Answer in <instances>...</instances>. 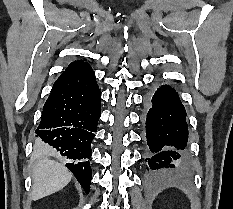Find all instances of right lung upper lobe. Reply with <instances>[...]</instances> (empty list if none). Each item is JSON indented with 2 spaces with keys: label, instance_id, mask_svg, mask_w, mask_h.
<instances>
[{
  "label": "right lung upper lobe",
  "instance_id": "obj_1",
  "mask_svg": "<svg viewBox=\"0 0 233 209\" xmlns=\"http://www.w3.org/2000/svg\"><path fill=\"white\" fill-rule=\"evenodd\" d=\"M88 65L87 62H83L82 60H78V61H74L72 63H70V65L65 69V71L61 74V77L65 76L66 74L70 73L71 71L80 68L82 66Z\"/></svg>",
  "mask_w": 233,
  "mask_h": 209
}]
</instances>
